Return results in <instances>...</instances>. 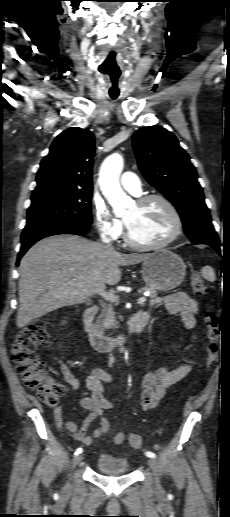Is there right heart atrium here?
<instances>
[{
	"instance_id": "1",
	"label": "right heart atrium",
	"mask_w": 230,
	"mask_h": 517,
	"mask_svg": "<svg viewBox=\"0 0 230 517\" xmlns=\"http://www.w3.org/2000/svg\"><path fill=\"white\" fill-rule=\"evenodd\" d=\"M93 214L97 230L103 239L114 241L122 236V222L112 215L103 202L94 203Z\"/></svg>"
}]
</instances>
